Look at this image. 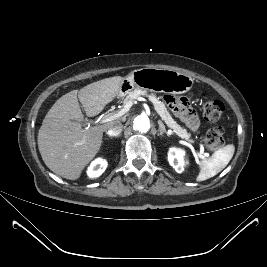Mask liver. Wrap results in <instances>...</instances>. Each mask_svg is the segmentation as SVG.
I'll list each match as a JSON object with an SVG mask.
<instances>
[{
    "label": "liver",
    "instance_id": "6515ba94",
    "mask_svg": "<svg viewBox=\"0 0 267 267\" xmlns=\"http://www.w3.org/2000/svg\"><path fill=\"white\" fill-rule=\"evenodd\" d=\"M123 80L115 76L93 82L70 91L53 104L38 132L41 157L52 172L69 180L80 177L98 153L103 132L120 120L82 129L84 115L78 99L87 116H96L115 99Z\"/></svg>",
    "mask_w": 267,
    "mask_h": 267
}]
</instances>
